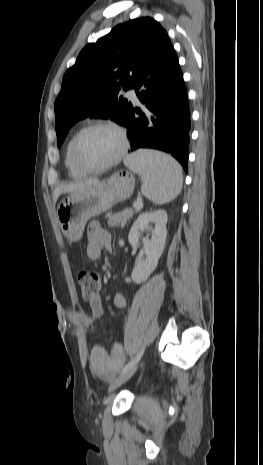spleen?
<instances>
[{"label": "spleen", "instance_id": "obj_1", "mask_svg": "<svg viewBox=\"0 0 263 465\" xmlns=\"http://www.w3.org/2000/svg\"><path fill=\"white\" fill-rule=\"evenodd\" d=\"M141 176V192L155 204L175 199L183 184L182 168L170 155L154 150H138L124 160Z\"/></svg>", "mask_w": 263, "mask_h": 465}]
</instances>
